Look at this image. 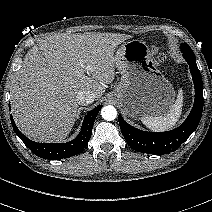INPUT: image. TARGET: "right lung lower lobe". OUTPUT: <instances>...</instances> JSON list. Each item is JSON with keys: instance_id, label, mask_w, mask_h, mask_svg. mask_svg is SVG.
<instances>
[{"instance_id": "1", "label": "right lung lower lobe", "mask_w": 212, "mask_h": 212, "mask_svg": "<svg viewBox=\"0 0 212 212\" xmlns=\"http://www.w3.org/2000/svg\"><path fill=\"white\" fill-rule=\"evenodd\" d=\"M101 107L102 105L97 106L85 116L79 135L67 143L46 144L34 142L18 130L12 116L11 122L15 133L35 155L44 159L58 160L77 155L83 151L91 137L94 121Z\"/></svg>"}]
</instances>
